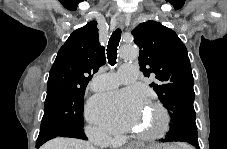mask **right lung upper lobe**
<instances>
[{"mask_svg": "<svg viewBox=\"0 0 227 149\" xmlns=\"http://www.w3.org/2000/svg\"><path fill=\"white\" fill-rule=\"evenodd\" d=\"M106 62L98 40L97 22L75 30L58 51L50 70L47 91L85 89L92 75Z\"/></svg>", "mask_w": 227, "mask_h": 149, "instance_id": "1", "label": "right lung upper lobe"}]
</instances>
